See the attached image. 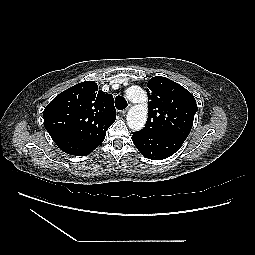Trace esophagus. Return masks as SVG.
<instances>
[{"label": "esophagus", "instance_id": "34e87169", "mask_svg": "<svg viewBox=\"0 0 255 255\" xmlns=\"http://www.w3.org/2000/svg\"><path fill=\"white\" fill-rule=\"evenodd\" d=\"M127 112H128V108H126V109L120 111V114L123 115V116H125Z\"/></svg>", "mask_w": 255, "mask_h": 255}]
</instances>
